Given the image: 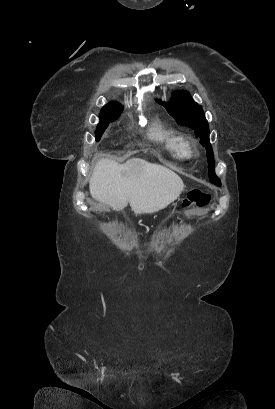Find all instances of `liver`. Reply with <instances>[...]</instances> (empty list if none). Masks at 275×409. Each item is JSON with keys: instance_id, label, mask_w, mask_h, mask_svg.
Returning a JSON list of instances; mask_svg holds the SVG:
<instances>
[{"instance_id": "liver-1", "label": "liver", "mask_w": 275, "mask_h": 409, "mask_svg": "<svg viewBox=\"0 0 275 409\" xmlns=\"http://www.w3.org/2000/svg\"><path fill=\"white\" fill-rule=\"evenodd\" d=\"M89 188L92 198L113 211H122L129 202L131 211L142 215L168 207L184 190V182L167 166L144 158H129L123 164L101 158L94 166Z\"/></svg>"}]
</instances>
